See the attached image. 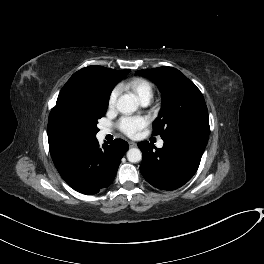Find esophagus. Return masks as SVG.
Here are the masks:
<instances>
[{
	"label": "esophagus",
	"instance_id": "34e87169",
	"mask_svg": "<svg viewBox=\"0 0 264 264\" xmlns=\"http://www.w3.org/2000/svg\"><path fill=\"white\" fill-rule=\"evenodd\" d=\"M136 143L135 142H129V147H136Z\"/></svg>",
	"mask_w": 264,
	"mask_h": 264
}]
</instances>
